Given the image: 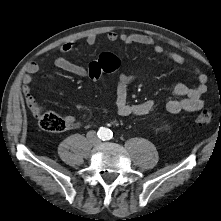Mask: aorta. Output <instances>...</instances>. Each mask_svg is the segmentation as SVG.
Segmentation results:
<instances>
[{
	"label": "aorta",
	"instance_id": "aorta-1",
	"mask_svg": "<svg viewBox=\"0 0 221 221\" xmlns=\"http://www.w3.org/2000/svg\"><path fill=\"white\" fill-rule=\"evenodd\" d=\"M99 135L102 139L108 140L111 138L112 132L108 128H102V129H100Z\"/></svg>",
	"mask_w": 221,
	"mask_h": 221
}]
</instances>
